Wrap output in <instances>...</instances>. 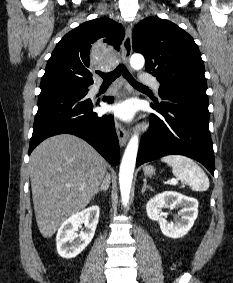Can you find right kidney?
<instances>
[{"instance_id": "obj_1", "label": "right kidney", "mask_w": 233, "mask_h": 283, "mask_svg": "<svg viewBox=\"0 0 233 283\" xmlns=\"http://www.w3.org/2000/svg\"><path fill=\"white\" fill-rule=\"evenodd\" d=\"M99 212L98 206H91L72 215L60 226L56 236V246L61 257L74 258L87 247L94 237ZM83 223L85 228L78 233Z\"/></svg>"}]
</instances>
